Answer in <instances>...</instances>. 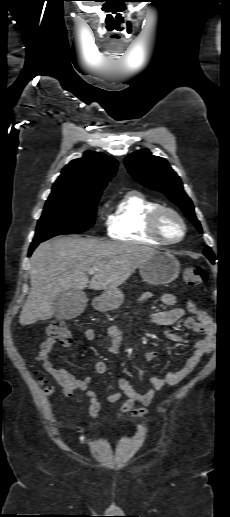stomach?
<instances>
[{"label":"stomach","instance_id":"1","mask_svg":"<svg viewBox=\"0 0 230 517\" xmlns=\"http://www.w3.org/2000/svg\"><path fill=\"white\" fill-rule=\"evenodd\" d=\"M142 279L150 284L164 285L174 281L180 271L179 261L168 252H156L152 257L140 265ZM124 300L121 290L108 289L97 299L96 307L99 310H114Z\"/></svg>","mask_w":230,"mask_h":517}]
</instances>
